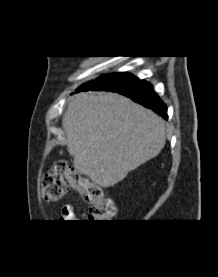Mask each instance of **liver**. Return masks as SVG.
<instances>
[{
  "instance_id": "obj_1",
  "label": "liver",
  "mask_w": 218,
  "mask_h": 277,
  "mask_svg": "<svg viewBox=\"0 0 218 277\" xmlns=\"http://www.w3.org/2000/svg\"><path fill=\"white\" fill-rule=\"evenodd\" d=\"M62 126L75 169L103 188L156 157L166 141L162 118L117 93L75 95Z\"/></svg>"
}]
</instances>
